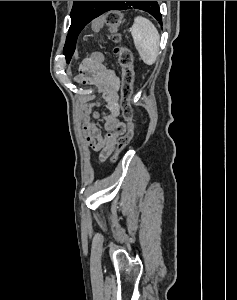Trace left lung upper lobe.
Masks as SVG:
<instances>
[{
    "mask_svg": "<svg viewBox=\"0 0 237 300\" xmlns=\"http://www.w3.org/2000/svg\"><path fill=\"white\" fill-rule=\"evenodd\" d=\"M109 1H74L71 11V26L68 31L64 46V55L67 63L75 51L76 42L83 28L96 17L102 15V11ZM120 7L125 9H140L151 14L162 24V18L157 1H120Z\"/></svg>",
    "mask_w": 237,
    "mask_h": 300,
    "instance_id": "1",
    "label": "left lung upper lobe"
}]
</instances>
